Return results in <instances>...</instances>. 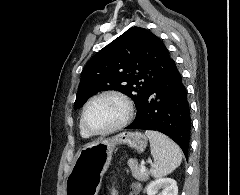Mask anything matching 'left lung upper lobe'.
I'll use <instances>...</instances> for the list:
<instances>
[{
    "label": "left lung upper lobe",
    "mask_w": 240,
    "mask_h": 195,
    "mask_svg": "<svg viewBox=\"0 0 240 195\" xmlns=\"http://www.w3.org/2000/svg\"><path fill=\"white\" fill-rule=\"evenodd\" d=\"M170 59L156 35L140 27L128 29L86 64L74 109L100 91L117 90L132 98L138 114L150 87L165 74Z\"/></svg>",
    "instance_id": "1"
}]
</instances>
